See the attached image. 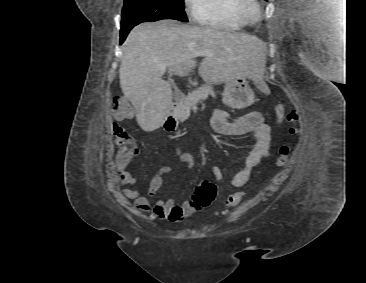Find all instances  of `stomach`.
<instances>
[{
  "instance_id": "stomach-1",
  "label": "stomach",
  "mask_w": 366,
  "mask_h": 283,
  "mask_svg": "<svg viewBox=\"0 0 366 283\" xmlns=\"http://www.w3.org/2000/svg\"><path fill=\"white\" fill-rule=\"evenodd\" d=\"M238 93L247 94L250 98H253V93L246 76L236 75L226 80L223 92V103L229 107H237L234 96ZM252 101V99H249L246 105H249Z\"/></svg>"
}]
</instances>
